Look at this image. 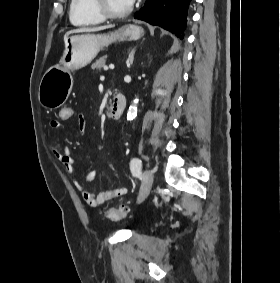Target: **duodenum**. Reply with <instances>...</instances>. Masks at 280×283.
<instances>
[{"label": "duodenum", "mask_w": 280, "mask_h": 283, "mask_svg": "<svg viewBox=\"0 0 280 283\" xmlns=\"http://www.w3.org/2000/svg\"><path fill=\"white\" fill-rule=\"evenodd\" d=\"M125 107H126V97L121 93H117L114 96L112 104L108 111L109 118L112 120L119 119L122 116Z\"/></svg>", "instance_id": "410a0bca"}]
</instances>
